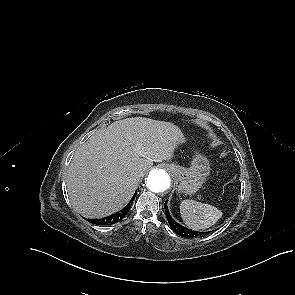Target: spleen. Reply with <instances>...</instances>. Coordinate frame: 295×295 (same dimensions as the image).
<instances>
[{"instance_id":"3e777b00","label":"spleen","mask_w":295,"mask_h":295,"mask_svg":"<svg viewBox=\"0 0 295 295\" xmlns=\"http://www.w3.org/2000/svg\"><path fill=\"white\" fill-rule=\"evenodd\" d=\"M180 214L185 224L194 230L209 228L222 217L216 207L189 199L181 202Z\"/></svg>"}]
</instances>
